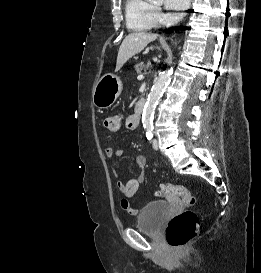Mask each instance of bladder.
<instances>
[{"label": "bladder", "mask_w": 261, "mask_h": 273, "mask_svg": "<svg viewBox=\"0 0 261 273\" xmlns=\"http://www.w3.org/2000/svg\"><path fill=\"white\" fill-rule=\"evenodd\" d=\"M170 205L165 201L150 202L140 211L136 225L147 234H157L169 212Z\"/></svg>", "instance_id": "31cf9c89"}]
</instances>
